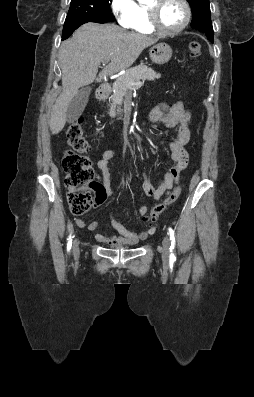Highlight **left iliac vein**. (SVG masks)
I'll list each match as a JSON object with an SVG mask.
<instances>
[{
  "label": "left iliac vein",
  "mask_w": 254,
  "mask_h": 397,
  "mask_svg": "<svg viewBox=\"0 0 254 397\" xmlns=\"http://www.w3.org/2000/svg\"><path fill=\"white\" fill-rule=\"evenodd\" d=\"M162 245H163L162 259L164 262H168L170 257V239L168 236L164 237Z\"/></svg>",
  "instance_id": "obj_1"
}]
</instances>
